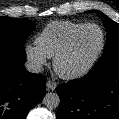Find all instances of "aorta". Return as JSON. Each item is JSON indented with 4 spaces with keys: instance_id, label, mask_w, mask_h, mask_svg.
I'll use <instances>...</instances> for the list:
<instances>
[{
    "instance_id": "1",
    "label": "aorta",
    "mask_w": 119,
    "mask_h": 119,
    "mask_svg": "<svg viewBox=\"0 0 119 119\" xmlns=\"http://www.w3.org/2000/svg\"><path fill=\"white\" fill-rule=\"evenodd\" d=\"M43 102L47 108L55 109L60 104V98L57 93L50 92L44 96Z\"/></svg>"
}]
</instances>
